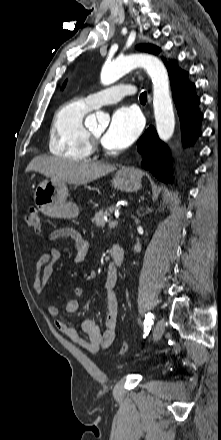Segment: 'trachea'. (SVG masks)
<instances>
[{
    "label": "trachea",
    "mask_w": 221,
    "mask_h": 440,
    "mask_svg": "<svg viewBox=\"0 0 221 440\" xmlns=\"http://www.w3.org/2000/svg\"><path fill=\"white\" fill-rule=\"evenodd\" d=\"M140 101L141 102L147 101V93L145 91L140 94Z\"/></svg>",
    "instance_id": "trachea-1"
}]
</instances>
